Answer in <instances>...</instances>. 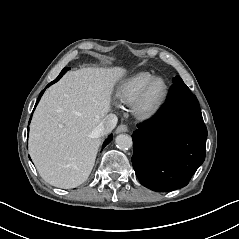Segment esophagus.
<instances>
[{
    "label": "esophagus",
    "mask_w": 239,
    "mask_h": 239,
    "mask_svg": "<svg viewBox=\"0 0 239 239\" xmlns=\"http://www.w3.org/2000/svg\"><path fill=\"white\" fill-rule=\"evenodd\" d=\"M127 131H128V127L124 124H121L116 128L115 133H122Z\"/></svg>",
    "instance_id": "1"
}]
</instances>
